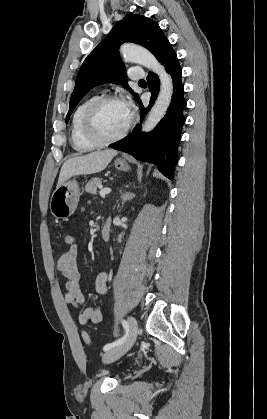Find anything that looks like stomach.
<instances>
[{"label":"stomach","instance_id":"stomach-1","mask_svg":"<svg viewBox=\"0 0 267 419\" xmlns=\"http://www.w3.org/2000/svg\"><path fill=\"white\" fill-rule=\"evenodd\" d=\"M115 167L121 171H128L129 165L125 160L117 159ZM81 188L75 179L64 182L53 192L50 200V211L55 218L66 219L76 210L80 196Z\"/></svg>","mask_w":267,"mask_h":419}]
</instances>
